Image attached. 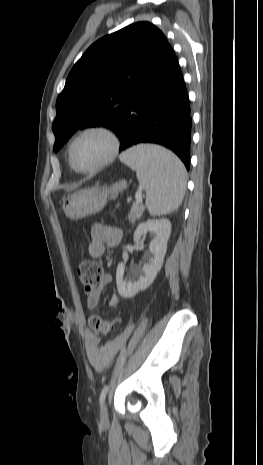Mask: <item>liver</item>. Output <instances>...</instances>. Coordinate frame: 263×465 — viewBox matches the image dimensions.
Here are the masks:
<instances>
[{
	"label": "liver",
	"mask_w": 263,
	"mask_h": 465,
	"mask_svg": "<svg viewBox=\"0 0 263 465\" xmlns=\"http://www.w3.org/2000/svg\"><path fill=\"white\" fill-rule=\"evenodd\" d=\"M76 187H77V186H73V187H71V188H69V189L72 190V189H74V188H76Z\"/></svg>",
	"instance_id": "obj_1"
}]
</instances>
